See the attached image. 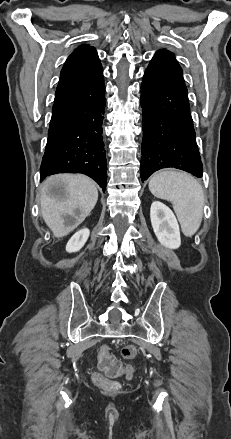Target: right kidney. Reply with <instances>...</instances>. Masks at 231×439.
Masks as SVG:
<instances>
[{
  "label": "right kidney",
  "mask_w": 231,
  "mask_h": 439,
  "mask_svg": "<svg viewBox=\"0 0 231 439\" xmlns=\"http://www.w3.org/2000/svg\"><path fill=\"white\" fill-rule=\"evenodd\" d=\"M90 231L88 228H84L76 232L66 245V251L69 253L78 252L88 240Z\"/></svg>",
  "instance_id": "obj_1"
}]
</instances>
